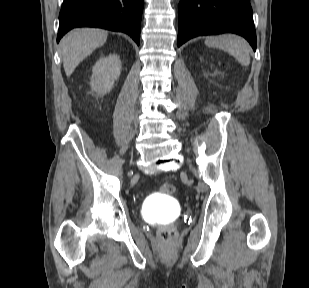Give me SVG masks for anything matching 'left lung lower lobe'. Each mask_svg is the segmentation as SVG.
I'll list each match as a JSON object with an SVG mask.
<instances>
[{"mask_svg": "<svg viewBox=\"0 0 309 288\" xmlns=\"http://www.w3.org/2000/svg\"><path fill=\"white\" fill-rule=\"evenodd\" d=\"M178 47L202 35L236 33L256 50V32L249 0H181Z\"/></svg>", "mask_w": 309, "mask_h": 288, "instance_id": "left-lung-lower-lobe-1", "label": "left lung lower lobe"}]
</instances>
